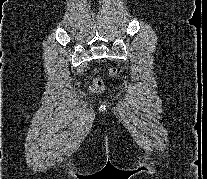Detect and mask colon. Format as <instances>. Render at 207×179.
<instances>
[{"label": "colon", "instance_id": "colon-1", "mask_svg": "<svg viewBox=\"0 0 207 179\" xmlns=\"http://www.w3.org/2000/svg\"><path fill=\"white\" fill-rule=\"evenodd\" d=\"M109 73L112 76H117L119 71L117 68H111L109 70ZM104 89H105V86H104L103 81L99 78H94L92 81V84L90 85V91L93 93H100L104 91Z\"/></svg>", "mask_w": 207, "mask_h": 179}]
</instances>
